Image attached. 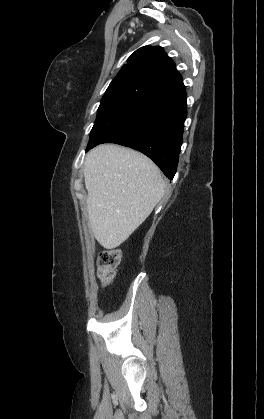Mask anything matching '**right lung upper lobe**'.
Here are the masks:
<instances>
[{
  "label": "right lung upper lobe",
  "mask_w": 264,
  "mask_h": 419,
  "mask_svg": "<svg viewBox=\"0 0 264 419\" xmlns=\"http://www.w3.org/2000/svg\"><path fill=\"white\" fill-rule=\"evenodd\" d=\"M115 86H128L152 97L185 89L174 62L159 46L136 50L109 87Z\"/></svg>",
  "instance_id": "cb5924a9"
}]
</instances>
